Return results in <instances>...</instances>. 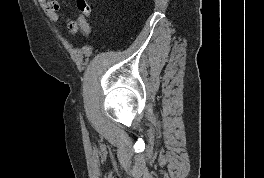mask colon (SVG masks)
Wrapping results in <instances>:
<instances>
[{
	"label": "colon",
	"mask_w": 264,
	"mask_h": 178,
	"mask_svg": "<svg viewBox=\"0 0 264 178\" xmlns=\"http://www.w3.org/2000/svg\"><path fill=\"white\" fill-rule=\"evenodd\" d=\"M77 8L80 15H82L86 19V25L81 29V32L84 35H88L90 32L88 19L91 15V5L89 0H77Z\"/></svg>",
	"instance_id": "5ec220e1"
}]
</instances>
